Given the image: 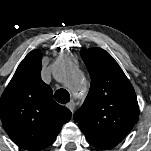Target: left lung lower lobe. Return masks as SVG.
I'll list each match as a JSON object with an SVG mask.
<instances>
[{"label":"left lung lower lobe","mask_w":151,"mask_h":151,"mask_svg":"<svg viewBox=\"0 0 151 151\" xmlns=\"http://www.w3.org/2000/svg\"><path fill=\"white\" fill-rule=\"evenodd\" d=\"M88 141L91 145L103 150L112 149L121 142L119 140H112V139H92Z\"/></svg>","instance_id":"obj_1"}]
</instances>
